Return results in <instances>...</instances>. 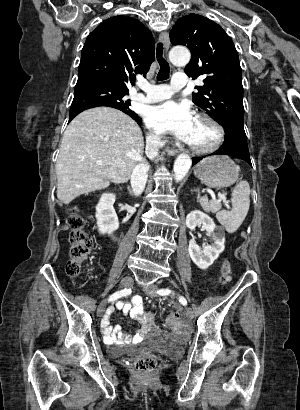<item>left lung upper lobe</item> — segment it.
Instances as JSON below:
<instances>
[{"label": "left lung upper lobe", "instance_id": "5c2ea615", "mask_svg": "<svg viewBox=\"0 0 300 410\" xmlns=\"http://www.w3.org/2000/svg\"><path fill=\"white\" fill-rule=\"evenodd\" d=\"M173 45H185L191 61L185 73L204 85L195 87L193 102L224 126L231 122L243 126V86L238 53L231 38L210 19L190 14L180 18L170 31Z\"/></svg>", "mask_w": 300, "mask_h": 410}]
</instances>
